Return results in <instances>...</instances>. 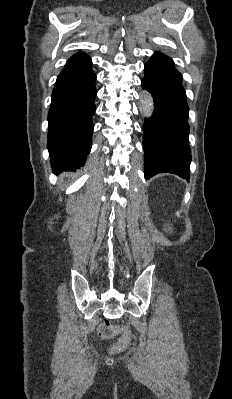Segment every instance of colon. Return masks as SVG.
<instances>
[{"label":"colon","mask_w":232,"mask_h":399,"mask_svg":"<svg viewBox=\"0 0 232 399\" xmlns=\"http://www.w3.org/2000/svg\"><path fill=\"white\" fill-rule=\"evenodd\" d=\"M102 326L103 330H97V337H104L105 341H111L112 337L119 333V323H109V326L102 323Z\"/></svg>","instance_id":"5ec220e1"}]
</instances>
